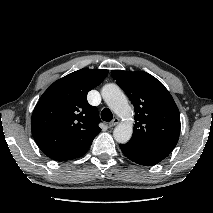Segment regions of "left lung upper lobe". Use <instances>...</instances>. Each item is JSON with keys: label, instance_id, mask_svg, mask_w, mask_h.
<instances>
[{"label": "left lung upper lobe", "instance_id": "left-lung-upper-lobe-1", "mask_svg": "<svg viewBox=\"0 0 213 213\" xmlns=\"http://www.w3.org/2000/svg\"><path fill=\"white\" fill-rule=\"evenodd\" d=\"M111 75L135 109L134 131L128 144L167 157L180 133V114L171 94L159 80L143 71L112 70Z\"/></svg>", "mask_w": 213, "mask_h": 213}]
</instances>
